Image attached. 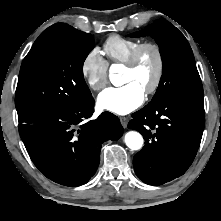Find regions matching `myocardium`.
I'll list each match as a JSON object with an SVG mask.
<instances>
[{"mask_svg":"<svg viewBox=\"0 0 221 221\" xmlns=\"http://www.w3.org/2000/svg\"><path fill=\"white\" fill-rule=\"evenodd\" d=\"M151 50L154 53L155 59H156V70L154 74V78L150 85L145 89V93L150 95L155 93L158 88L160 87V84L163 79L164 74V56L162 53V50L160 46L151 41H146L140 43L130 54L128 60L124 63L126 68L128 69H136L137 66L140 63V60L143 56V54L147 51Z\"/></svg>","mask_w":221,"mask_h":221,"instance_id":"1","label":"myocardium"}]
</instances>
